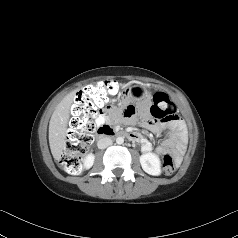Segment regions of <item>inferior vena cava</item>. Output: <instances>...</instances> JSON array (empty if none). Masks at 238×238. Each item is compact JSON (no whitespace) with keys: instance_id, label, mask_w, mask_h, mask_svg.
Here are the masks:
<instances>
[{"instance_id":"inferior-vena-cava-1","label":"inferior vena cava","mask_w":238,"mask_h":238,"mask_svg":"<svg viewBox=\"0 0 238 238\" xmlns=\"http://www.w3.org/2000/svg\"><path fill=\"white\" fill-rule=\"evenodd\" d=\"M110 145H112V140L109 137H102L97 143L99 149H105Z\"/></svg>"}]
</instances>
